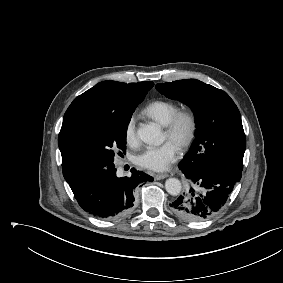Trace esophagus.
<instances>
[{
	"mask_svg": "<svg viewBox=\"0 0 283 283\" xmlns=\"http://www.w3.org/2000/svg\"><path fill=\"white\" fill-rule=\"evenodd\" d=\"M168 177V174H156L154 176L155 180H161V179H164V178H167Z\"/></svg>",
	"mask_w": 283,
	"mask_h": 283,
	"instance_id": "1",
	"label": "esophagus"
}]
</instances>
